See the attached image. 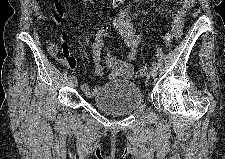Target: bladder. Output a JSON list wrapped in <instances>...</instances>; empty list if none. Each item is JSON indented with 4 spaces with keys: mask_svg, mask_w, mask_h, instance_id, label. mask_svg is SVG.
Here are the masks:
<instances>
[{
    "mask_svg": "<svg viewBox=\"0 0 225 159\" xmlns=\"http://www.w3.org/2000/svg\"><path fill=\"white\" fill-rule=\"evenodd\" d=\"M144 102L140 87L130 80H115L100 86L92 98V104L115 116L134 112Z\"/></svg>",
    "mask_w": 225,
    "mask_h": 159,
    "instance_id": "1",
    "label": "bladder"
}]
</instances>
